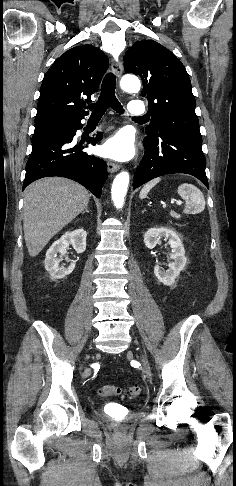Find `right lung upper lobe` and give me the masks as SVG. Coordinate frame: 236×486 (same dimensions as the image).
I'll use <instances>...</instances> for the list:
<instances>
[{"mask_svg": "<svg viewBox=\"0 0 236 486\" xmlns=\"http://www.w3.org/2000/svg\"><path fill=\"white\" fill-rule=\"evenodd\" d=\"M108 64L107 56L90 45L73 47L62 54L43 78L35 126L86 116L85 102H91V94L98 89Z\"/></svg>", "mask_w": 236, "mask_h": 486, "instance_id": "obj_1", "label": "right lung upper lobe"}]
</instances>
